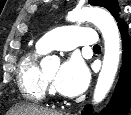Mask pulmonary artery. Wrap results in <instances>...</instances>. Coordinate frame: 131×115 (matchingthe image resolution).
<instances>
[{
	"label": "pulmonary artery",
	"mask_w": 131,
	"mask_h": 115,
	"mask_svg": "<svg viewBox=\"0 0 131 115\" xmlns=\"http://www.w3.org/2000/svg\"><path fill=\"white\" fill-rule=\"evenodd\" d=\"M95 31L81 26H68L54 29L46 33L37 43L40 50L48 52L53 49L71 50L79 45L97 44Z\"/></svg>",
	"instance_id": "e3ab8cb5"
}]
</instances>
